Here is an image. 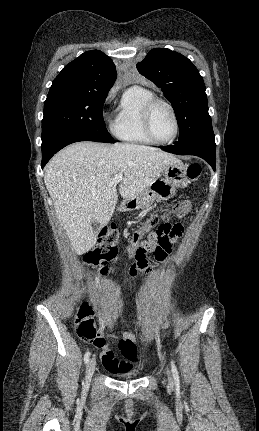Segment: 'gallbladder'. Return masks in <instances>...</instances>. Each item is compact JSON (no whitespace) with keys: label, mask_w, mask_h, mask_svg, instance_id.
Masks as SVG:
<instances>
[{"label":"gallbladder","mask_w":259,"mask_h":431,"mask_svg":"<svg viewBox=\"0 0 259 431\" xmlns=\"http://www.w3.org/2000/svg\"><path fill=\"white\" fill-rule=\"evenodd\" d=\"M91 228L94 232H97L100 229V224L97 221H93L91 223Z\"/></svg>","instance_id":"obj_1"}]
</instances>
